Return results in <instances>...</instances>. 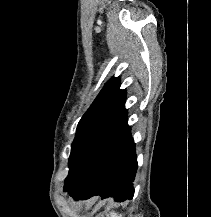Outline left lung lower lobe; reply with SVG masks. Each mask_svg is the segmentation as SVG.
I'll list each match as a JSON object with an SVG mask.
<instances>
[{
  "mask_svg": "<svg viewBox=\"0 0 211 217\" xmlns=\"http://www.w3.org/2000/svg\"><path fill=\"white\" fill-rule=\"evenodd\" d=\"M137 168L131 128L126 125L99 149L76 179L64 186V191L76 200L95 195L115 201L132 199Z\"/></svg>",
  "mask_w": 211,
  "mask_h": 217,
  "instance_id": "left-lung-lower-lobe-1",
  "label": "left lung lower lobe"
}]
</instances>
